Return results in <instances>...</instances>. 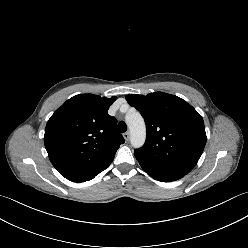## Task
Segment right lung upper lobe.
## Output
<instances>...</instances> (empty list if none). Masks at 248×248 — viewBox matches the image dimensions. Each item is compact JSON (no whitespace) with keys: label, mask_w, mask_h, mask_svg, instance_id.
I'll return each mask as SVG.
<instances>
[{"label":"right lung upper lobe","mask_w":248,"mask_h":248,"mask_svg":"<svg viewBox=\"0 0 248 248\" xmlns=\"http://www.w3.org/2000/svg\"><path fill=\"white\" fill-rule=\"evenodd\" d=\"M116 97L80 94L67 100L48 120L44 144L53 166L84 168L115 156L124 138L107 111Z\"/></svg>","instance_id":"right-lung-upper-lobe-1"}]
</instances>
